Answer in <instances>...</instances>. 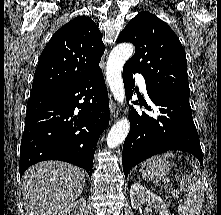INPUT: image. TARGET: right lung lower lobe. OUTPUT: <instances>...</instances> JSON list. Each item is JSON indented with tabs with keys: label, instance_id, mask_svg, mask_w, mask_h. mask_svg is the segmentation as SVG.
Listing matches in <instances>:
<instances>
[{
	"label": "right lung lower lobe",
	"instance_id": "1",
	"mask_svg": "<svg viewBox=\"0 0 221 215\" xmlns=\"http://www.w3.org/2000/svg\"><path fill=\"white\" fill-rule=\"evenodd\" d=\"M108 124V93L100 68L64 88L30 97L20 177L29 166L44 160L72 163L91 176L97 141Z\"/></svg>",
	"mask_w": 221,
	"mask_h": 215
}]
</instances>
